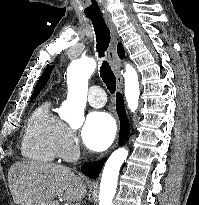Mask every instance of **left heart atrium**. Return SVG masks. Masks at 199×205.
<instances>
[{
  "label": "left heart atrium",
  "instance_id": "left-heart-atrium-1",
  "mask_svg": "<svg viewBox=\"0 0 199 205\" xmlns=\"http://www.w3.org/2000/svg\"><path fill=\"white\" fill-rule=\"evenodd\" d=\"M116 134L113 117L103 111L91 112L85 119L81 136L84 144L94 151L108 148Z\"/></svg>",
  "mask_w": 199,
  "mask_h": 205
}]
</instances>
